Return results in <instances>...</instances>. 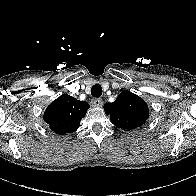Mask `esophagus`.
I'll return each instance as SVG.
<instances>
[{"label": "esophagus", "mask_w": 196, "mask_h": 196, "mask_svg": "<svg viewBox=\"0 0 196 196\" xmlns=\"http://www.w3.org/2000/svg\"><path fill=\"white\" fill-rule=\"evenodd\" d=\"M91 104L94 107H100V106H102L103 101L101 98H94V99H92Z\"/></svg>", "instance_id": "obj_1"}]
</instances>
